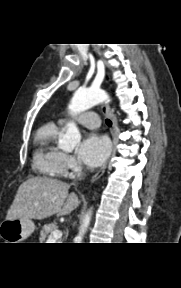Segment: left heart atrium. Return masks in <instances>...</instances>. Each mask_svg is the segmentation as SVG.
<instances>
[{"label":"left heart atrium","mask_w":181,"mask_h":288,"mask_svg":"<svg viewBox=\"0 0 181 288\" xmlns=\"http://www.w3.org/2000/svg\"><path fill=\"white\" fill-rule=\"evenodd\" d=\"M109 153V140L97 133L88 134L78 149L79 159L89 167H97L104 163Z\"/></svg>","instance_id":"1"}]
</instances>
